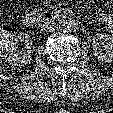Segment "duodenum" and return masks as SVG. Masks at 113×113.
<instances>
[{
	"instance_id": "1",
	"label": "duodenum",
	"mask_w": 113,
	"mask_h": 113,
	"mask_svg": "<svg viewBox=\"0 0 113 113\" xmlns=\"http://www.w3.org/2000/svg\"><path fill=\"white\" fill-rule=\"evenodd\" d=\"M70 16V12L65 9L43 12H29L22 18V24L25 27H31L40 21H61Z\"/></svg>"
}]
</instances>
